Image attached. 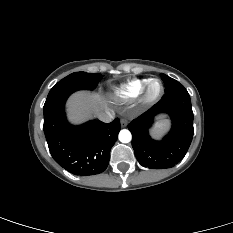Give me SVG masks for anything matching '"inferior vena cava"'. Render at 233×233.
Listing matches in <instances>:
<instances>
[{
	"label": "inferior vena cava",
	"mask_w": 233,
	"mask_h": 233,
	"mask_svg": "<svg viewBox=\"0 0 233 233\" xmlns=\"http://www.w3.org/2000/svg\"><path fill=\"white\" fill-rule=\"evenodd\" d=\"M97 117L99 120L105 123H109L114 119V112L112 110L107 109L105 111L97 113Z\"/></svg>",
	"instance_id": "obj_1"
}]
</instances>
